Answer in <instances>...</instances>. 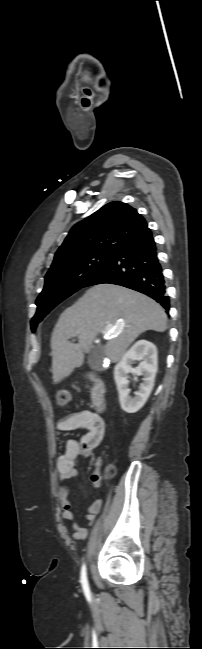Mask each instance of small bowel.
<instances>
[{
  "mask_svg": "<svg viewBox=\"0 0 202 649\" xmlns=\"http://www.w3.org/2000/svg\"><path fill=\"white\" fill-rule=\"evenodd\" d=\"M57 429L63 432H72L84 429L85 433L80 439H70L65 452L57 460V471L60 481H67L77 475V462L93 454L94 450L101 444L105 436V422L101 416L90 410H83L72 413L62 418L57 423ZM91 483L94 488L102 484L103 476L99 466L91 474ZM69 490L66 486L60 485L58 496L62 507V517L72 523L74 540H84L88 535V528L80 527L75 521L72 512V503L68 500ZM102 507V499L97 498L88 506L83 517L88 521L89 526L93 524L96 515Z\"/></svg>",
  "mask_w": 202,
  "mask_h": 649,
  "instance_id": "obj_1",
  "label": "small bowel"
}]
</instances>
